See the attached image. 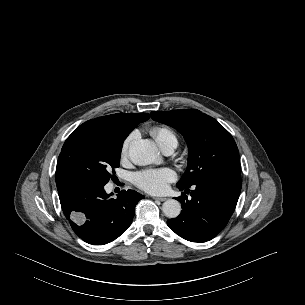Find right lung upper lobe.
Here are the masks:
<instances>
[{
    "label": "right lung upper lobe",
    "instance_id": "obj_1",
    "mask_svg": "<svg viewBox=\"0 0 305 305\" xmlns=\"http://www.w3.org/2000/svg\"><path fill=\"white\" fill-rule=\"evenodd\" d=\"M150 118L149 114L117 113L89 120L84 124L108 130L126 137L140 123Z\"/></svg>",
    "mask_w": 305,
    "mask_h": 305
}]
</instances>
